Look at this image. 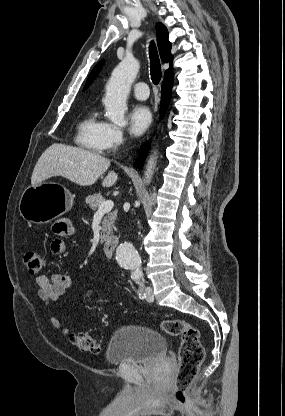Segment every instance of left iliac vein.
<instances>
[{
  "label": "left iliac vein",
  "mask_w": 285,
  "mask_h": 416,
  "mask_svg": "<svg viewBox=\"0 0 285 416\" xmlns=\"http://www.w3.org/2000/svg\"><path fill=\"white\" fill-rule=\"evenodd\" d=\"M144 295H145V297L148 301L152 302L154 300V294H153V291H152L151 287H146L145 288Z\"/></svg>",
  "instance_id": "left-iliac-vein-1"
}]
</instances>
